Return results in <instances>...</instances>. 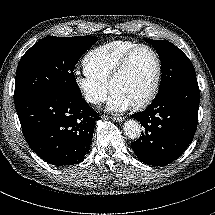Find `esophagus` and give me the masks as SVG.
<instances>
[{"label": "esophagus", "instance_id": "34e87169", "mask_svg": "<svg viewBox=\"0 0 215 215\" xmlns=\"http://www.w3.org/2000/svg\"><path fill=\"white\" fill-rule=\"evenodd\" d=\"M125 120V117H114L113 118V121H115V122H122V121H124Z\"/></svg>", "mask_w": 215, "mask_h": 215}]
</instances>
